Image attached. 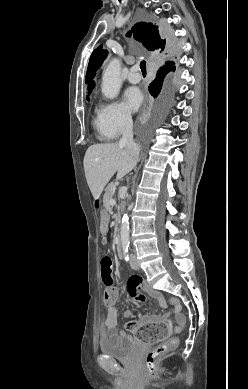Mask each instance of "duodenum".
I'll use <instances>...</instances> for the list:
<instances>
[{
  "label": "duodenum",
  "mask_w": 248,
  "mask_h": 389,
  "mask_svg": "<svg viewBox=\"0 0 248 389\" xmlns=\"http://www.w3.org/2000/svg\"><path fill=\"white\" fill-rule=\"evenodd\" d=\"M116 252H117V255L119 258H123V248H122V245H121V241H120V238L117 239V242H116Z\"/></svg>",
  "instance_id": "duodenum-1"
}]
</instances>
